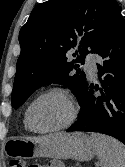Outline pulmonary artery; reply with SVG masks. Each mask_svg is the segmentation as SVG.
<instances>
[{"label": "pulmonary artery", "instance_id": "e3ab8cb5", "mask_svg": "<svg viewBox=\"0 0 125 167\" xmlns=\"http://www.w3.org/2000/svg\"><path fill=\"white\" fill-rule=\"evenodd\" d=\"M86 68L88 69L91 77L95 78L97 74V68L95 64V58L92 56H89L85 63Z\"/></svg>", "mask_w": 125, "mask_h": 167}]
</instances>
